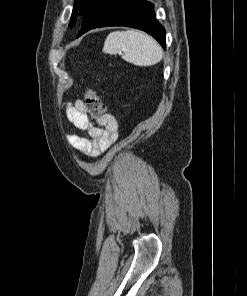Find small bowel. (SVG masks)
<instances>
[{"label":"small bowel","instance_id":"obj_1","mask_svg":"<svg viewBox=\"0 0 247 296\" xmlns=\"http://www.w3.org/2000/svg\"><path fill=\"white\" fill-rule=\"evenodd\" d=\"M68 120L88 138L76 134H68L67 140L74 150L88 156H97L112 145L118 137V124L110 113L94 116L85 103L76 100L66 107Z\"/></svg>","mask_w":247,"mask_h":296}]
</instances>
